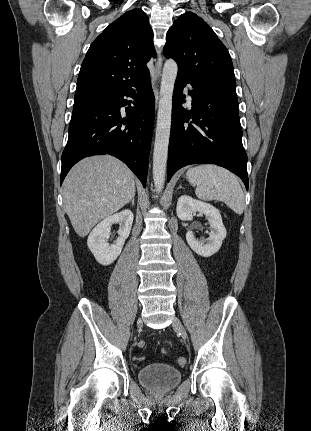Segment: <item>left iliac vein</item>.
Returning <instances> with one entry per match:
<instances>
[{
    "instance_id": "obj_1",
    "label": "left iliac vein",
    "mask_w": 311,
    "mask_h": 431,
    "mask_svg": "<svg viewBox=\"0 0 311 431\" xmlns=\"http://www.w3.org/2000/svg\"><path fill=\"white\" fill-rule=\"evenodd\" d=\"M172 326L180 333L183 339L187 338L186 330L178 318L173 319Z\"/></svg>"
}]
</instances>
